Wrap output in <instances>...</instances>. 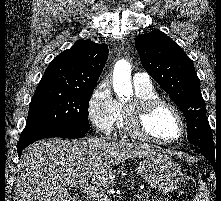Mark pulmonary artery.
Listing matches in <instances>:
<instances>
[{
    "instance_id": "obj_1",
    "label": "pulmonary artery",
    "mask_w": 221,
    "mask_h": 201,
    "mask_svg": "<svg viewBox=\"0 0 221 201\" xmlns=\"http://www.w3.org/2000/svg\"><path fill=\"white\" fill-rule=\"evenodd\" d=\"M133 83L136 86H148L151 85L150 77L147 73H136L133 76Z\"/></svg>"
}]
</instances>
